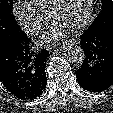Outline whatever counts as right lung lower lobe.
Instances as JSON below:
<instances>
[{
	"label": "right lung lower lobe",
	"instance_id": "obj_1",
	"mask_svg": "<svg viewBox=\"0 0 113 113\" xmlns=\"http://www.w3.org/2000/svg\"><path fill=\"white\" fill-rule=\"evenodd\" d=\"M49 52L32 49L31 39L23 31L0 41V81L17 98L33 100L47 84L45 62Z\"/></svg>",
	"mask_w": 113,
	"mask_h": 113
}]
</instances>
